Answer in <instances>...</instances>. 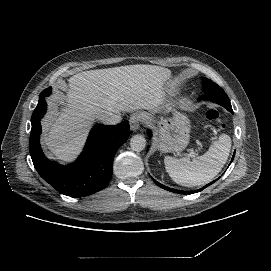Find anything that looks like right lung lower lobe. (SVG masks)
<instances>
[{
    "label": "right lung lower lobe",
    "instance_id": "right-lung-lower-lobe-1",
    "mask_svg": "<svg viewBox=\"0 0 271 271\" xmlns=\"http://www.w3.org/2000/svg\"><path fill=\"white\" fill-rule=\"evenodd\" d=\"M50 94L51 87L41 93L31 117L29 149L34 167L45 181L67 196L84 197L104 189L112 177L114 155L129 137V122L95 126L78 160L68 166L58 165L45 157L39 141L40 120L47 109L45 97Z\"/></svg>",
    "mask_w": 271,
    "mask_h": 271
}]
</instances>
